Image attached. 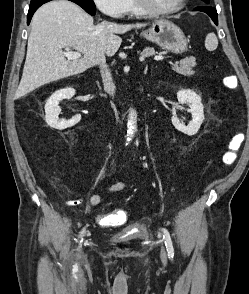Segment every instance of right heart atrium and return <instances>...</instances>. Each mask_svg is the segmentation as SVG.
<instances>
[{
  "label": "right heart atrium",
  "mask_w": 249,
  "mask_h": 294,
  "mask_svg": "<svg viewBox=\"0 0 249 294\" xmlns=\"http://www.w3.org/2000/svg\"><path fill=\"white\" fill-rule=\"evenodd\" d=\"M96 7L104 14L111 17L124 15L126 0H93Z\"/></svg>",
  "instance_id": "right-heart-atrium-1"
}]
</instances>
